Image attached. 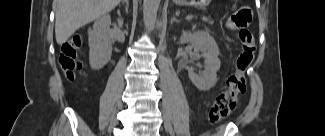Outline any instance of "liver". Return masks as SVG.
Masks as SVG:
<instances>
[{
  "mask_svg": "<svg viewBox=\"0 0 325 136\" xmlns=\"http://www.w3.org/2000/svg\"><path fill=\"white\" fill-rule=\"evenodd\" d=\"M121 0H54L55 37L59 45L93 20L110 12Z\"/></svg>",
  "mask_w": 325,
  "mask_h": 136,
  "instance_id": "1",
  "label": "liver"
}]
</instances>
